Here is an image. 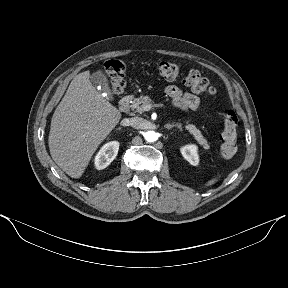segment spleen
<instances>
[{
    "label": "spleen",
    "mask_w": 288,
    "mask_h": 288,
    "mask_svg": "<svg viewBox=\"0 0 288 288\" xmlns=\"http://www.w3.org/2000/svg\"><path fill=\"white\" fill-rule=\"evenodd\" d=\"M214 182H215V180H211V181L208 182L207 185H212Z\"/></svg>",
    "instance_id": "3e777b00"
}]
</instances>
